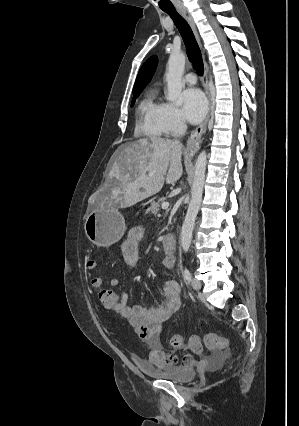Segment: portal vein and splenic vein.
Returning <instances> with one entry per match:
<instances>
[{"label":"portal vein and splenic vein","mask_w":299,"mask_h":426,"mask_svg":"<svg viewBox=\"0 0 299 426\" xmlns=\"http://www.w3.org/2000/svg\"><path fill=\"white\" fill-rule=\"evenodd\" d=\"M161 206H162L163 210H167L169 208V203L168 202H163Z\"/></svg>","instance_id":"18ae733b"}]
</instances>
